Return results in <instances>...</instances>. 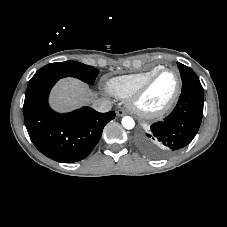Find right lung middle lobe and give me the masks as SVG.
I'll list each match as a JSON object with an SVG mask.
<instances>
[{
    "instance_id": "right-lung-middle-lobe-1",
    "label": "right lung middle lobe",
    "mask_w": 227,
    "mask_h": 227,
    "mask_svg": "<svg viewBox=\"0 0 227 227\" xmlns=\"http://www.w3.org/2000/svg\"><path fill=\"white\" fill-rule=\"evenodd\" d=\"M99 71L93 66H88L76 61L50 63L39 69L32 79L47 75L60 77L71 76L78 78L86 83L93 84Z\"/></svg>"
}]
</instances>
